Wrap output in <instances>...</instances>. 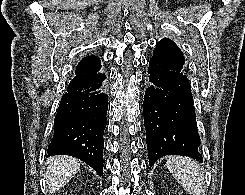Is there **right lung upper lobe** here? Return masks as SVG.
<instances>
[{
	"label": "right lung upper lobe",
	"instance_id": "obj_1",
	"mask_svg": "<svg viewBox=\"0 0 245 195\" xmlns=\"http://www.w3.org/2000/svg\"><path fill=\"white\" fill-rule=\"evenodd\" d=\"M99 67L100 61L96 56H88L85 57L77 66L75 73L83 72V69L92 68V67Z\"/></svg>",
	"mask_w": 245,
	"mask_h": 195
}]
</instances>
